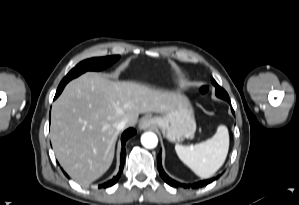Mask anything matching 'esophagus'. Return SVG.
<instances>
[{"label": "esophagus", "instance_id": "esophagus-1", "mask_svg": "<svg viewBox=\"0 0 299 205\" xmlns=\"http://www.w3.org/2000/svg\"><path fill=\"white\" fill-rule=\"evenodd\" d=\"M155 124L154 119L150 118V117H144L141 119L140 123H139V128L140 129H148L150 127H152Z\"/></svg>", "mask_w": 299, "mask_h": 205}]
</instances>
